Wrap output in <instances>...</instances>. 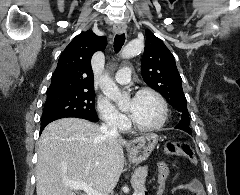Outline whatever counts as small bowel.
Segmentation results:
<instances>
[{
    "mask_svg": "<svg viewBox=\"0 0 240 195\" xmlns=\"http://www.w3.org/2000/svg\"><path fill=\"white\" fill-rule=\"evenodd\" d=\"M194 181H196V180H194ZM183 189H186V186H176V187L173 188L172 192L175 193V192H178V191L183 190Z\"/></svg>",
    "mask_w": 240,
    "mask_h": 195,
    "instance_id": "obj_1",
    "label": "small bowel"
}]
</instances>
